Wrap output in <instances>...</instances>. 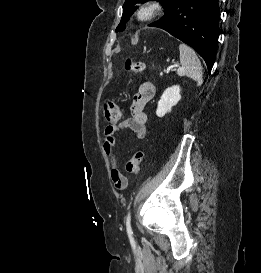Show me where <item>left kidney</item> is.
<instances>
[{
    "instance_id": "obj_1",
    "label": "left kidney",
    "mask_w": 261,
    "mask_h": 273,
    "mask_svg": "<svg viewBox=\"0 0 261 273\" xmlns=\"http://www.w3.org/2000/svg\"><path fill=\"white\" fill-rule=\"evenodd\" d=\"M180 99L181 95L179 86L176 85L167 88L158 101L156 115L158 117H163L166 113L171 111L172 107L175 106Z\"/></svg>"
}]
</instances>
